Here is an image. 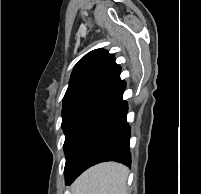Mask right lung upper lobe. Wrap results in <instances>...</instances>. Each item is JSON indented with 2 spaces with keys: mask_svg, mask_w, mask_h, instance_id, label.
I'll list each match as a JSON object with an SVG mask.
<instances>
[{
  "mask_svg": "<svg viewBox=\"0 0 201 194\" xmlns=\"http://www.w3.org/2000/svg\"><path fill=\"white\" fill-rule=\"evenodd\" d=\"M121 68L106 50L96 49L86 54L74 67L63 105L91 101L120 82Z\"/></svg>",
  "mask_w": 201,
  "mask_h": 194,
  "instance_id": "right-lung-upper-lobe-1",
  "label": "right lung upper lobe"
}]
</instances>
